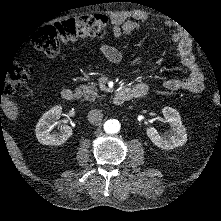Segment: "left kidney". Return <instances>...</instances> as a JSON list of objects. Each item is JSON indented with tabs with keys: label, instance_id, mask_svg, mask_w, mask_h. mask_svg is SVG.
<instances>
[{
	"label": "left kidney",
	"instance_id": "5707ae66",
	"mask_svg": "<svg viewBox=\"0 0 221 221\" xmlns=\"http://www.w3.org/2000/svg\"><path fill=\"white\" fill-rule=\"evenodd\" d=\"M165 123H168L171 130L159 135L154 127L147 129V135L150 140L162 149H173L177 146H182L187 141L186 127L183 125L180 112L169 106L162 108Z\"/></svg>",
	"mask_w": 221,
	"mask_h": 221
}]
</instances>
